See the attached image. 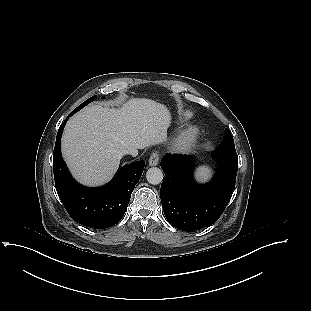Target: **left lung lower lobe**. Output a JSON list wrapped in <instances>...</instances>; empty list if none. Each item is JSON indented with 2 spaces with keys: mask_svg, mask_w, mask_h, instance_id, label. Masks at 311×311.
<instances>
[{
  "mask_svg": "<svg viewBox=\"0 0 311 311\" xmlns=\"http://www.w3.org/2000/svg\"><path fill=\"white\" fill-rule=\"evenodd\" d=\"M212 157L218 161V172L203 186L197 185L191 176V156L166 155L161 162L165 172L160 190L163 211L168 222L182 231L198 230L215 223L231 199L238 156L216 150Z\"/></svg>",
  "mask_w": 311,
  "mask_h": 311,
  "instance_id": "0a47b994",
  "label": "left lung lower lobe"
}]
</instances>
